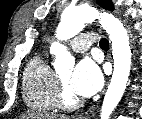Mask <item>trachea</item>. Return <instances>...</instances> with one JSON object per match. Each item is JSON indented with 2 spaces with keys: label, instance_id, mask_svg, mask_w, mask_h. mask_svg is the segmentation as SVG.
I'll use <instances>...</instances> for the list:
<instances>
[{
  "label": "trachea",
  "instance_id": "trachea-1",
  "mask_svg": "<svg viewBox=\"0 0 142 119\" xmlns=\"http://www.w3.org/2000/svg\"><path fill=\"white\" fill-rule=\"evenodd\" d=\"M100 47L101 48H109V41L106 38L100 40Z\"/></svg>",
  "mask_w": 142,
  "mask_h": 119
}]
</instances>
